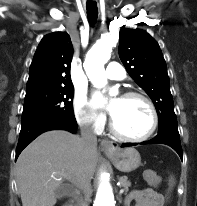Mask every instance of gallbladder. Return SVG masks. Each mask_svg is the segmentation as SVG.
Wrapping results in <instances>:
<instances>
[{"label": "gallbladder", "mask_w": 197, "mask_h": 206, "mask_svg": "<svg viewBox=\"0 0 197 206\" xmlns=\"http://www.w3.org/2000/svg\"><path fill=\"white\" fill-rule=\"evenodd\" d=\"M61 192H62V189H61V188H59V189L56 191V193H57L58 196L61 195Z\"/></svg>", "instance_id": "bac80fb5"}]
</instances>
